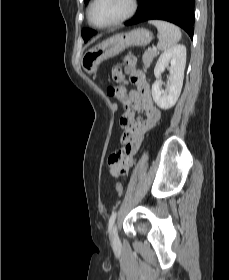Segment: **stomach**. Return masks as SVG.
Here are the masks:
<instances>
[{
  "label": "stomach",
  "mask_w": 229,
  "mask_h": 280,
  "mask_svg": "<svg viewBox=\"0 0 229 280\" xmlns=\"http://www.w3.org/2000/svg\"><path fill=\"white\" fill-rule=\"evenodd\" d=\"M152 38L153 34L145 28L117 34L89 49L81 59V67L87 74L95 75L102 61L118 55L129 47H144L151 42Z\"/></svg>",
  "instance_id": "obj_1"
}]
</instances>
